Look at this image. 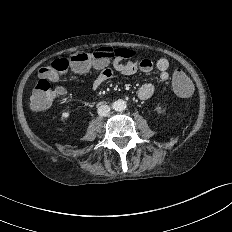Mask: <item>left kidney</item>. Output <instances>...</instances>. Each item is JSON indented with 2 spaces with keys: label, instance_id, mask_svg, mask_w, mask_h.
Masks as SVG:
<instances>
[{
  "label": "left kidney",
  "instance_id": "1",
  "mask_svg": "<svg viewBox=\"0 0 232 232\" xmlns=\"http://www.w3.org/2000/svg\"><path fill=\"white\" fill-rule=\"evenodd\" d=\"M157 110H158V111H160V110H161V107H160V106H158V107H157Z\"/></svg>",
  "mask_w": 232,
  "mask_h": 232
}]
</instances>
